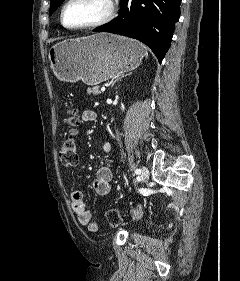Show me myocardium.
<instances>
[{
    "label": "myocardium",
    "instance_id": "1",
    "mask_svg": "<svg viewBox=\"0 0 240 281\" xmlns=\"http://www.w3.org/2000/svg\"><path fill=\"white\" fill-rule=\"evenodd\" d=\"M72 1L73 0H66L65 3L63 4L62 8H61V11H60V22L66 29H69V30H83V29H89V28H95V27L102 26V25L108 23L109 21H111L113 19V17L115 16V13H116L115 0H107L108 10L102 18H100V19H98L94 22L84 24V25L68 26L64 21V13H65V10H66L67 6Z\"/></svg>",
    "mask_w": 240,
    "mask_h": 281
}]
</instances>
